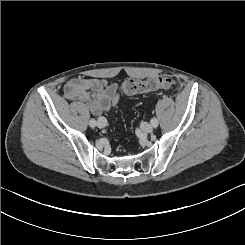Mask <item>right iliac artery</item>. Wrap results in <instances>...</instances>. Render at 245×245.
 I'll use <instances>...</instances> for the list:
<instances>
[{"label":"right iliac artery","instance_id":"obj_1","mask_svg":"<svg viewBox=\"0 0 245 245\" xmlns=\"http://www.w3.org/2000/svg\"><path fill=\"white\" fill-rule=\"evenodd\" d=\"M89 125H90L91 127H95V126H96V121H95V119H91L90 122H89Z\"/></svg>","mask_w":245,"mask_h":245}]
</instances>
